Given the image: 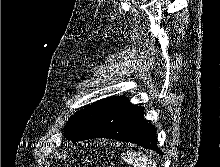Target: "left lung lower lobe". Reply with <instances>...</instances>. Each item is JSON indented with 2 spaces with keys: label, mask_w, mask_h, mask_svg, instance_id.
I'll use <instances>...</instances> for the list:
<instances>
[{
  "label": "left lung lower lobe",
  "mask_w": 220,
  "mask_h": 167,
  "mask_svg": "<svg viewBox=\"0 0 220 167\" xmlns=\"http://www.w3.org/2000/svg\"><path fill=\"white\" fill-rule=\"evenodd\" d=\"M144 108L134 106L124 97H116L78 141L109 138L136 143L162 154L157 146L156 128L144 117Z\"/></svg>",
  "instance_id": "left-lung-lower-lobe-1"
}]
</instances>
